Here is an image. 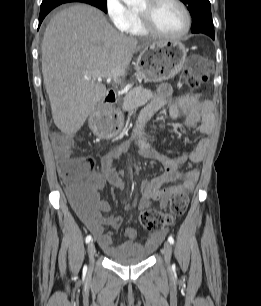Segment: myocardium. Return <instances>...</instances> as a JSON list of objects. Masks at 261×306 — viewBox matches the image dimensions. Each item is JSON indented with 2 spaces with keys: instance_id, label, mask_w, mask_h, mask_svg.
<instances>
[{
  "instance_id": "obj_1",
  "label": "myocardium",
  "mask_w": 261,
  "mask_h": 306,
  "mask_svg": "<svg viewBox=\"0 0 261 306\" xmlns=\"http://www.w3.org/2000/svg\"><path fill=\"white\" fill-rule=\"evenodd\" d=\"M177 4L182 10L185 18L184 28L177 34H167L160 31L154 24L152 18V12L156 4L161 2V0H144V6L142 8H137V14L144 29L151 35L164 38V39H179L184 37L191 29L192 19L191 13L187 5L182 0H171Z\"/></svg>"
}]
</instances>
